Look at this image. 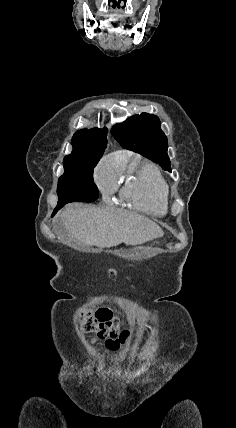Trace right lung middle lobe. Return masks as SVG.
Masks as SVG:
<instances>
[{"label": "right lung middle lobe", "mask_w": 236, "mask_h": 428, "mask_svg": "<svg viewBox=\"0 0 236 428\" xmlns=\"http://www.w3.org/2000/svg\"><path fill=\"white\" fill-rule=\"evenodd\" d=\"M94 166H64L65 172L58 180V204L61 209L69 202H93L99 197L93 182Z\"/></svg>", "instance_id": "right-lung-middle-lobe-1"}]
</instances>
